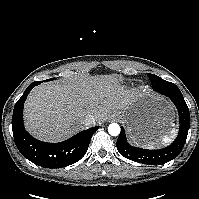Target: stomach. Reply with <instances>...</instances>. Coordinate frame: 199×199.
<instances>
[{
  "label": "stomach",
  "instance_id": "obj_1",
  "mask_svg": "<svg viewBox=\"0 0 199 199\" xmlns=\"http://www.w3.org/2000/svg\"><path fill=\"white\" fill-rule=\"evenodd\" d=\"M118 116L126 125L131 140L138 143L161 137L172 120L165 102L148 93L136 97L127 109L118 112ZM164 117L166 120H163Z\"/></svg>",
  "mask_w": 199,
  "mask_h": 199
}]
</instances>
